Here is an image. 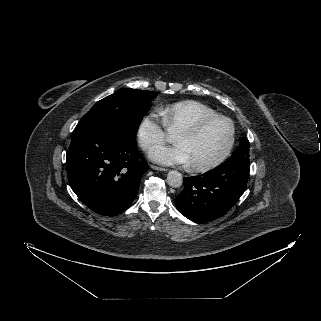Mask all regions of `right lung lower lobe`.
<instances>
[{
  "label": "right lung lower lobe",
  "instance_id": "98d812e1",
  "mask_svg": "<svg viewBox=\"0 0 321 321\" xmlns=\"http://www.w3.org/2000/svg\"><path fill=\"white\" fill-rule=\"evenodd\" d=\"M66 164L72 190L104 216H115L132 204L148 168L135 137L121 130L72 135Z\"/></svg>",
  "mask_w": 321,
  "mask_h": 321
}]
</instances>
